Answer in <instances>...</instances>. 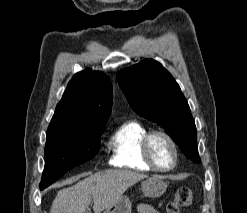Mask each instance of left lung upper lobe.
Wrapping results in <instances>:
<instances>
[{
	"label": "left lung upper lobe",
	"instance_id": "obj_1",
	"mask_svg": "<svg viewBox=\"0 0 247 213\" xmlns=\"http://www.w3.org/2000/svg\"><path fill=\"white\" fill-rule=\"evenodd\" d=\"M116 78L131 107L164 128L185 156L199 163L196 126L171 74L160 63L147 59L119 71Z\"/></svg>",
	"mask_w": 247,
	"mask_h": 213
}]
</instances>
